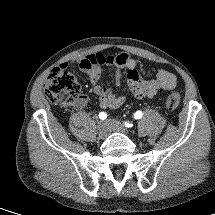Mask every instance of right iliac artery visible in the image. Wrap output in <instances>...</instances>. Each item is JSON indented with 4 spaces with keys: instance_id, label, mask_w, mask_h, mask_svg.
<instances>
[{
    "instance_id": "right-iliac-artery-1",
    "label": "right iliac artery",
    "mask_w": 215,
    "mask_h": 215,
    "mask_svg": "<svg viewBox=\"0 0 215 215\" xmlns=\"http://www.w3.org/2000/svg\"><path fill=\"white\" fill-rule=\"evenodd\" d=\"M99 117H100L101 119H105V118L107 117V115H105V113H100V114H99Z\"/></svg>"
}]
</instances>
